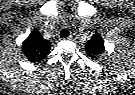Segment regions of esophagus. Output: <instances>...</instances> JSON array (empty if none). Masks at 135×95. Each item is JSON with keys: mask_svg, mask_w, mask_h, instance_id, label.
<instances>
[{"mask_svg": "<svg viewBox=\"0 0 135 95\" xmlns=\"http://www.w3.org/2000/svg\"><path fill=\"white\" fill-rule=\"evenodd\" d=\"M78 38V36H77V34H75V33H72V34H70L69 36H68V39L69 40H76Z\"/></svg>", "mask_w": 135, "mask_h": 95, "instance_id": "obj_1", "label": "esophagus"}]
</instances>
